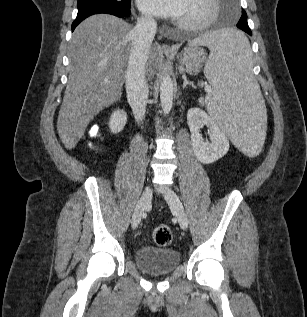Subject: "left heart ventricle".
<instances>
[{"instance_id":"left-heart-ventricle-1","label":"left heart ventricle","mask_w":307,"mask_h":317,"mask_svg":"<svg viewBox=\"0 0 307 317\" xmlns=\"http://www.w3.org/2000/svg\"><path fill=\"white\" fill-rule=\"evenodd\" d=\"M210 11L204 0H188L183 14L179 17L181 21H197L204 18Z\"/></svg>"}]
</instances>
